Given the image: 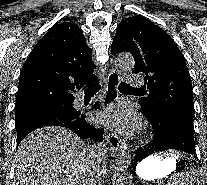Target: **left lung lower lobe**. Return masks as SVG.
<instances>
[{
  "label": "left lung lower lobe",
  "mask_w": 207,
  "mask_h": 185,
  "mask_svg": "<svg viewBox=\"0 0 207 185\" xmlns=\"http://www.w3.org/2000/svg\"><path fill=\"white\" fill-rule=\"evenodd\" d=\"M152 124L154 137L143 148L135 152L134 163L143 160L150 154L176 149L195 155L193 132L174 118L166 117L161 122H156L145 116Z\"/></svg>",
  "instance_id": "obj_1"
}]
</instances>
